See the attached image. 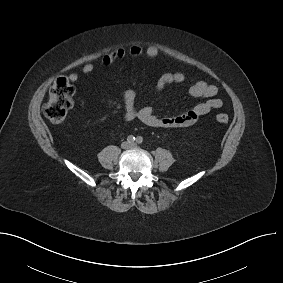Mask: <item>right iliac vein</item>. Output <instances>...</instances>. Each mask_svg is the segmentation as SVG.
<instances>
[{"instance_id":"right-iliac-vein-1","label":"right iliac vein","mask_w":283,"mask_h":283,"mask_svg":"<svg viewBox=\"0 0 283 283\" xmlns=\"http://www.w3.org/2000/svg\"><path fill=\"white\" fill-rule=\"evenodd\" d=\"M130 147V144L128 143V142H123L122 144H121V148L122 149H128Z\"/></svg>"}]
</instances>
